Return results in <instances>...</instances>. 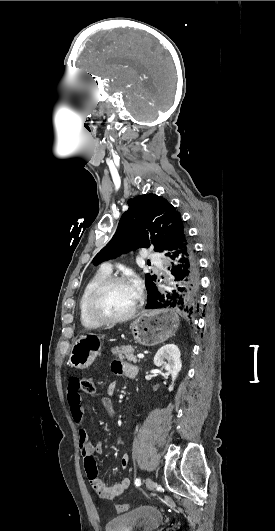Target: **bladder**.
<instances>
[{
  "label": "bladder",
  "instance_id": "1",
  "mask_svg": "<svg viewBox=\"0 0 275 531\" xmlns=\"http://www.w3.org/2000/svg\"><path fill=\"white\" fill-rule=\"evenodd\" d=\"M163 514L156 508L143 505L107 520L105 531H157Z\"/></svg>",
  "mask_w": 275,
  "mask_h": 531
}]
</instances>
